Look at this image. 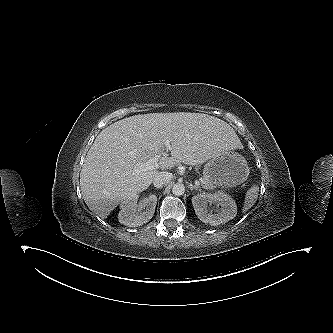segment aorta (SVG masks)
Listing matches in <instances>:
<instances>
[{
  "label": "aorta",
  "mask_w": 333,
  "mask_h": 333,
  "mask_svg": "<svg viewBox=\"0 0 333 333\" xmlns=\"http://www.w3.org/2000/svg\"><path fill=\"white\" fill-rule=\"evenodd\" d=\"M185 192V186L182 183H176L172 187V193L176 196H181Z\"/></svg>",
  "instance_id": "obj_1"
}]
</instances>
